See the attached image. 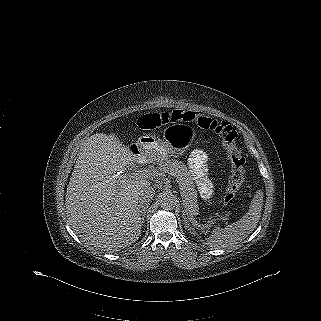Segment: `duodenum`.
<instances>
[{
  "instance_id": "410a0bca",
  "label": "duodenum",
  "mask_w": 321,
  "mask_h": 321,
  "mask_svg": "<svg viewBox=\"0 0 321 321\" xmlns=\"http://www.w3.org/2000/svg\"><path fill=\"white\" fill-rule=\"evenodd\" d=\"M137 152H138L139 154H142V153H143V149L137 150Z\"/></svg>"
}]
</instances>
